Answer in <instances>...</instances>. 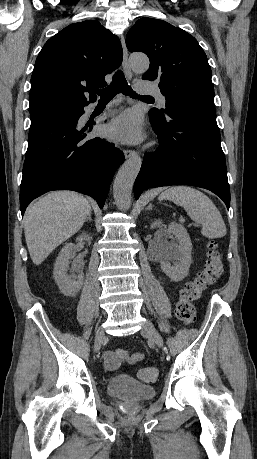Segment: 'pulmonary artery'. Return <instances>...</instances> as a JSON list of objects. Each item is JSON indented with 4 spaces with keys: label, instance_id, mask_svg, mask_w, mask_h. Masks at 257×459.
<instances>
[{
    "label": "pulmonary artery",
    "instance_id": "1",
    "mask_svg": "<svg viewBox=\"0 0 257 459\" xmlns=\"http://www.w3.org/2000/svg\"><path fill=\"white\" fill-rule=\"evenodd\" d=\"M140 83H145V82H140ZM139 91L144 94L155 95L160 105L165 106L166 104L165 97L160 93V91L157 88L145 87V88H140Z\"/></svg>",
    "mask_w": 257,
    "mask_h": 459
}]
</instances>
